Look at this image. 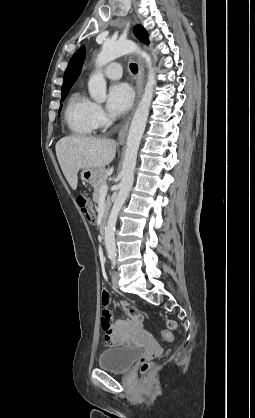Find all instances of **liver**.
I'll list each match as a JSON object with an SVG mask.
<instances>
[{"instance_id":"6515ba94","label":"liver","mask_w":255,"mask_h":418,"mask_svg":"<svg viewBox=\"0 0 255 418\" xmlns=\"http://www.w3.org/2000/svg\"><path fill=\"white\" fill-rule=\"evenodd\" d=\"M55 149L66 180L71 188L76 190L79 170L84 168L103 170L116 155V142L112 139L68 136L60 139Z\"/></svg>"}]
</instances>
